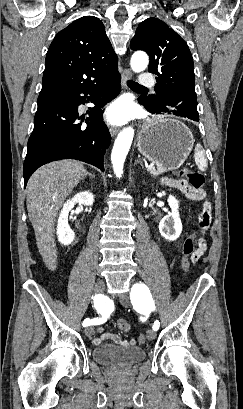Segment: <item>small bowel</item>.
<instances>
[{"label": "small bowel", "mask_w": 243, "mask_h": 409, "mask_svg": "<svg viewBox=\"0 0 243 409\" xmlns=\"http://www.w3.org/2000/svg\"><path fill=\"white\" fill-rule=\"evenodd\" d=\"M162 183L168 187L175 188L188 199H191L194 201H200V200H204L205 198V192L194 189L185 180L166 178L162 180ZM198 220H199V226L202 230V234H204L209 228L210 220H211L210 202L205 201L203 203L202 212L200 216L198 217ZM205 251H206V241L203 236H200L196 240V248L191 255L192 263L197 262L202 257V255L205 253ZM112 310H113L112 304L110 302H107L104 308V311L102 313V317H100V319L105 322L109 318L110 314L112 313ZM97 332L100 334V336L93 340V343L95 345H99L106 340H111L125 347H132L140 343L139 339H136L134 337H130L128 339H122L120 336L116 334L105 333L103 327L101 326L97 328Z\"/></svg>", "instance_id": "obj_1"}]
</instances>
